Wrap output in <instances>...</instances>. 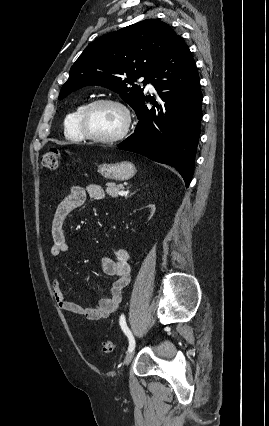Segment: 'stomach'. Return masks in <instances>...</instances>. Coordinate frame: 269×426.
<instances>
[{"instance_id": "obj_1", "label": "stomach", "mask_w": 269, "mask_h": 426, "mask_svg": "<svg viewBox=\"0 0 269 426\" xmlns=\"http://www.w3.org/2000/svg\"><path fill=\"white\" fill-rule=\"evenodd\" d=\"M98 172L107 179L124 181L132 178L136 173L135 165L129 161L103 164L98 167Z\"/></svg>"}]
</instances>
